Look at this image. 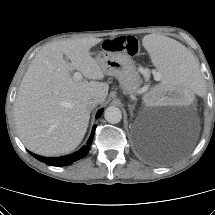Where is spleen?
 Wrapping results in <instances>:
<instances>
[{
    "mask_svg": "<svg viewBox=\"0 0 215 215\" xmlns=\"http://www.w3.org/2000/svg\"><path fill=\"white\" fill-rule=\"evenodd\" d=\"M143 45L163 75L159 85H174L192 95L202 92L204 83L198 73L200 63L194 53L176 41L150 35L143 39Z\"/></svg>",
    "mask_w": 215,
    "mask_h": 215,
    "instance_id": "3e777b00",
    "label": "spleen"
}]
</instances>
